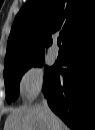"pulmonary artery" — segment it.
<instances>
[{
    "label": "pulmonary artery",
    "instance_id": "1",
    "mask_svg": "<svg viewBox=\"0 0 95 130\" xmlns=\"http://www.w3.org/2000/svg\"><path fill=\"white\" fill-rule=\"evenodd\" d=\"M49 52H50V55L53 56V57H57L58 56V53H59V50H58V47L56 44H53L50 49H49Z\"/></svg>",
    "mask_w": 95,
    "mask_h": 130
}]
</instances>
